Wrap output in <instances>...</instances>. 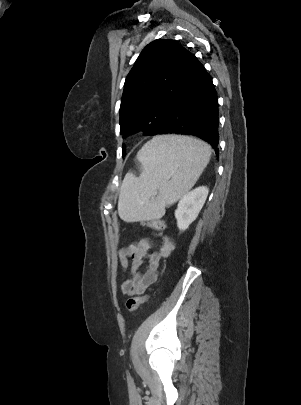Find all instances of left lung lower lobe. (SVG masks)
<instances>
[{
    "instance_id": "1",
    "label": "left lung lower lobe",
    "mask_w": 301,
    "mask_h": 405,
    "mask_svg": "<svg viewBox=\"0 0 301 405\" xmlns=\"http://www.w3.org/2000/svg\"><path fill=\"white\" fill-rule=\"evenodd\" d=\"M218 98L212 78L194 56L187 78L154 135L198 137L218 155Z\"/></svg>"
}]
</instances>
